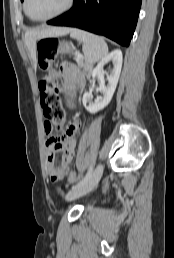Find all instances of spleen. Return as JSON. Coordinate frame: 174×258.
Instances as JSON below:
<instances>
[{
	"label": "spleen",
	"mask_w": 174,
	"mask_h": 258,
	"mask_svg": "<svg viewBox=\"0 0 174 258\" xmlns=\"http://www.w3.org/2000/svg\"><path fill=\"white\" fill-rule=\"evenodd\" d=\"M70 37L83 43L84 58L87 63L93 64L103 59L108 53V46L104 38L80 29H70Z\"/></svg>",
	"instance_id": "3e777b00"
}]
</instances>
